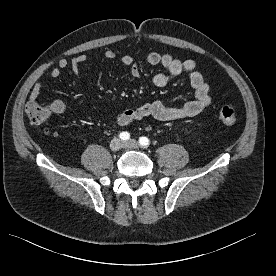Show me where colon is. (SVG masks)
<instances>
[{"instance_id":"1","label":"colon","mask_w":276,"mask_h":276,"mask_svg":"<svg viewBox=\"0 0 276 276\" xmlns=\"http://www.w3.org/2000/svg\"><path fill=\"white\" fill-rule=\"evenodd\" d=\"M25 112L30 122L35 125L44 123L50 116L49 106L38 101L27 103ZM218 119L227 126L234 125L237 121L235 109L229 105L222 106L218 112Z\"/></svg>"}]
</instances>
